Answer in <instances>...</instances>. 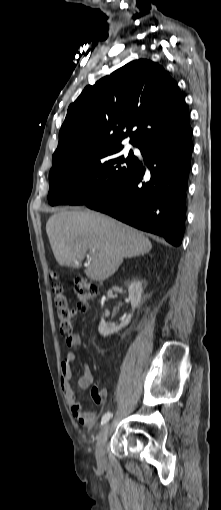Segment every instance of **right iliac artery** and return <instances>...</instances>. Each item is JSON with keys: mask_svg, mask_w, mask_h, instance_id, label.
<instances>
[{"mask_svg": "<svg viewBox=\"0 0 221 510\" xmlns=\"http://www.w3.org/2000/svg\"><path fill=\"white\" fill-rule=\"evenodd\" d=\"M111 417H112V414L110 412L105 413L101 419V425H104L105 423H107Z\"/></svg>", "mask_w": 221, "mask_h": 510, "instance_id": "1", "label": "right iliac artery"}]
</instances>
